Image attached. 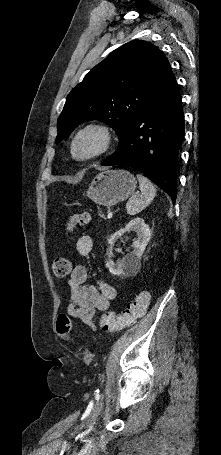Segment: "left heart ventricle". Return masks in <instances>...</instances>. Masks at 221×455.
Returning <instances> with one entry per match:
<instances>
[{
    "instance_id": "b2bd125f",
    "label": "left heart ventricle",
    "mask_w": 221,
    "mask_h": 455,
    "mask_svg": "<svg viewBox=\"0 0 221 455\" xmlns=\"http://www.w3.org/2000/svg\"><path fill=\"white\" fill-rule=\"evenodd\" d=\"M99 145V140L94 135L83 137L77 144L76 153L79 156H86L94 152Z\"/></svg>"
}]
</instances>
